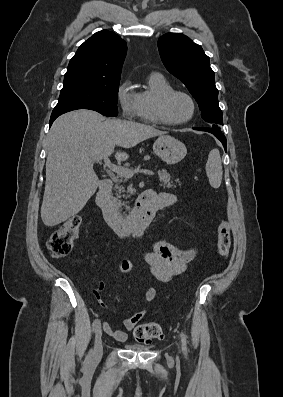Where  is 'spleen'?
Segmentation results:
<instances>
[{
  "mask_svg": "<svg viewBox=\"0 0 283 397\" xmlns=\"http://www.w3.org/2000/svg\"><path fill=\"white\" fill-rule=\"evenodd\" d=\"M206 174L209 179V183L213 188H219L222 181V162L218 149H213L208 155L206 163Z\"/></svg>",
  "mask_w": 283,
  "mask_h": 397,
  "instance_id": "obj_1",
  "label": "spleen"
}]
</instances>
